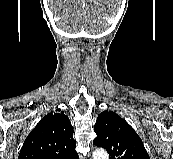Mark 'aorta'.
<instances>
[{
	"label": "aorta",
	"instance_id": "1",
	"mask_svg": "<svg viewBox=\"0 0 173 159\" xmlns=\"http://www.w3.org/2000/svg\"><path fill=\"white\" fill-rule=\"evenodd\" d=\"M93 159H109L108 153L104 149H96L92 155Z\"/></svg>",
	"mask_w": 173,
	"mask_h": 159
}]
</instances>
